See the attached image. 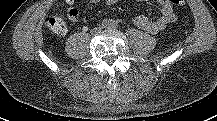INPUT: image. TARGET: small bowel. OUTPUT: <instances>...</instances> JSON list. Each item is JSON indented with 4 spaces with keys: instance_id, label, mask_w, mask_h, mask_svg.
<instances>
[{
    "instance_id": "small-bowel-1",
    "label": "small bowel",
    "mask_w": 217,
    "mask_h": 121,
    "mask_svg": "<svg viewBox=\"0 0 217 121\" xmlns=\"http://www.w3.org/2000/svg\"><path fill=\"white\" fill-rule=\"evenodd\" d=\"M67 5V17L70 21L75 22L79 17V11L74 7L75 0H64ZM91 3H98L102 0H89ZM108 5H113L121 0H103ZM138 2L146 0H135ZM159 5L161 15L155 19L151 20L145 15H138L134 18V23L141 29L149 32L155 33L163 29L169 23L175 20V14L172 5L169 0H156Z\"/></svg>"
}]
</instances>
